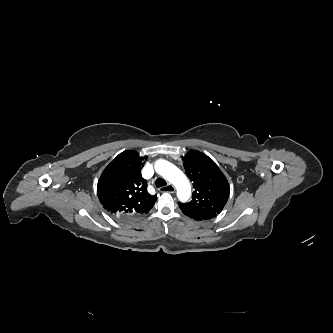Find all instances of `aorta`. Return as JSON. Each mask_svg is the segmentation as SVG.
Returning <instances> with one entry per match:
<instances>
[{
  "label": "aorta",
  "instance_id": "aorta-1",
  "mask_svg": "<svg viewBox=\"0 0 333 333\" xmlns=\"http://www.w3.org/2000/svg\"><path fill=\"white\" fill-rule=\"evenodd\" d=\"M155 170L176 187L177 197L180 201L185 202L190 198V183L180 169L168 161L158 160L155 163Z\"/></svg>",
  "mask_w": 333,
  "mask_h": 333
}]
</instances>
